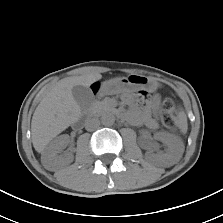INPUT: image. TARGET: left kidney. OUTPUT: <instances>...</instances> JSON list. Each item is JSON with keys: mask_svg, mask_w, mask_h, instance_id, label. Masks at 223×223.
I'll use <instances>...</instances> for the list:
<instances>
[{"mask_svg": "<svg viewBox=\"0 0 223 223\" xmlns=\"http://www.w3.org/2000/svg\"><path fill=\"white\" fill-rule=\"evenodd\" d=\"M155 139L161 141L165 146V151L159 152L157 154L151 151L147 152L146 158L156 164L170 166L177 163L183 154V144L175 136L169 133H156Z\"/></svg>", "mask_w": 223, "mask_h": 223, "instance_id": "left-kidney-1", "label": "left kidney"}]
</instances>
